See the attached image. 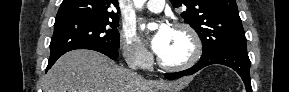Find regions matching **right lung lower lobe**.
<instances>
[{
	"label": "right lung lower lobe",
	"instance_id": "1",
	"mask_svg": "<svg viewBox=\"0 0 289 92\" xmlns=\"http://www.w3.org/2000/svg\"><path fill=\"white\" fill-rule=\"evenodd\" d=\"M82 49H90V50H95V51H98V52H101L105 55H107L109 58H111L112 60H116L119 56V52L118 50H113V49H110V48H106V47H99V46H91V47H85V48H82ZM63 54L57 56V57H54V58H50L49 61H48V66L46 68V72L48 69H50L52 67V65L57 61V59L62 56Z\"/></svg>",
	"mask_w": 289,
	"mask_h": 92
}]
</instances>
